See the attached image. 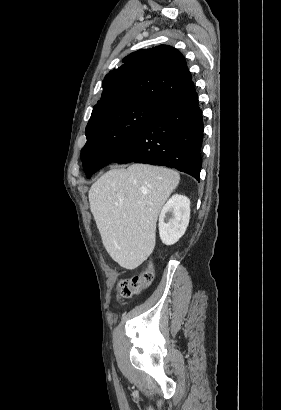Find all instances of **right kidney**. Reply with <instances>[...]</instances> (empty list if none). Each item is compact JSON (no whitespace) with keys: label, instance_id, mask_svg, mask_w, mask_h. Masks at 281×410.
Listing matches in <instances>:
<instances>
[{"label":"right kidney","instance_id":"obj_1","mask_svg":"<svg viewBox=\"0 0 281 410\" xmlns=\"http://www.w3.org/2000/svg\"><path fill=\"white\" fill-rule=\"evenodd\" d=\"M190 219V200L183 195H173L159 215V234L166 245L176 243L185 233Z\"/></svg>","mask_w":281,"mask_h":410}]
</instances>
